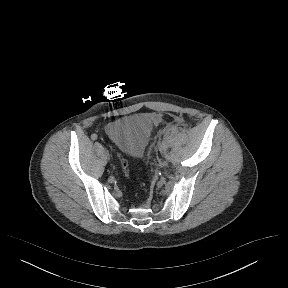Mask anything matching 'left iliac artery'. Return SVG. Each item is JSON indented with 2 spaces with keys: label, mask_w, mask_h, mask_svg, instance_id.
<instances>
[{
  "label": "left iliac artery",
  "mask_w": 288,
  "mask_h": 288,
  "mask_svg": "<svg viewBox=\"0 0 288 288\" xmlns=\"http://www.w3.org/2000/svg\"><path fill=\"white\" fill-rule=\"evenodd\" d=\"M168 141H169V135H166V136L163 138L162 145L164 146Z\"/></svg>",
  "instance_id": "1"
}]
</instances>
